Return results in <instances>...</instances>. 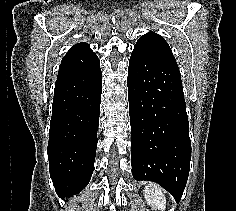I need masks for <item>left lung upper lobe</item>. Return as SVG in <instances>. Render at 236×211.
Listing matches in <instances>:
<instances>
[{
  "mask_svg": "<svg viewBox=\"0 0 236 211\" xmlns=\"http://www.w3.org/2000/svg\"><path fill=\"white\" fill-rule=\"evenodd\" d=\"M134 48L141 49L159 57L168 58L176 62L167 42L156 33L149 32L142 36L137 41Z\"/></svg>",
  "mask_w": 236,
  "mask_h": 211,
  "instance_id": "obj_1",
  "label": "left lung upper lobe"
}]
</instances>
